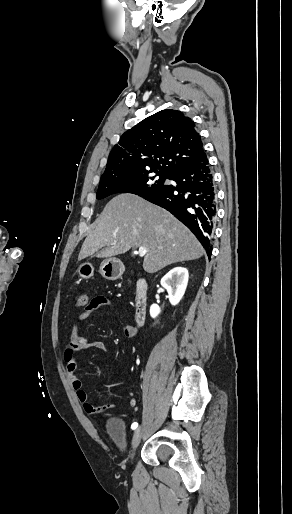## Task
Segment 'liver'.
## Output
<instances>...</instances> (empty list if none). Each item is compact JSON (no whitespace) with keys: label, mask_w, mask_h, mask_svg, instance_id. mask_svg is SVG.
Returning <instances> with one entry per match:
<instances>
[{"label":"liver","mask_w":292,"mask_h":514,"mask_svg":"<svg viewBox=\"0 0 292 514\" xmlns=\"http://www.w3.org/2000/svg\"><path fill=\"white\" fill-rule=\"evenodd\" d=\"M140 246L147 248L143 268L148 274L204 254L194 234L172 214L135 194H120L106 204L95 230L84 240L78 260L99 250L97 258H111Z\"/></svg>","instance_id":"liver-1"}]
</instances>
